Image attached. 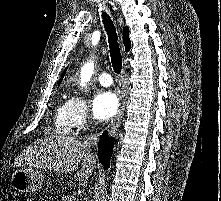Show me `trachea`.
Listing matches in <instances>:
<instances>
[{
	"label": "trachea",
	"mask_w": 221,
	"mask_h": 201,
	"mask_svg": "<svg viewBox=\"0 0 221 201\" xmlns=\"http://www.w3.org/2000/svg\"><path fill=\"white\" fill-rule=\"evenodd\" d=\"M102 18H103L104 28L108 35L111 63L115 73L119 74L122 69V56L117 41L118 36L116 33V29L110 16L106 12H103Z\"/></svg>",
	"instance_id": "3493384b"
}]
</instances>
